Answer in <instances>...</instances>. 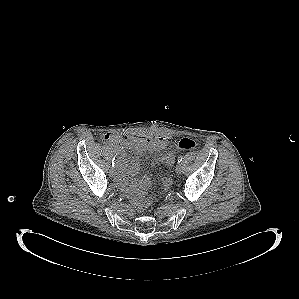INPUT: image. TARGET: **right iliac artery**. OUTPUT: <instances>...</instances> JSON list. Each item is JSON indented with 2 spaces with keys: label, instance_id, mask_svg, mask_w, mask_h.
Wrapping results in <instances>:
<instances>
[{
  "label": "right iliac artery",
  "instance_id": "1",
  "mask_svg": "<svg viewBox=\"0 0 299 299\" xmlns=\"http://www.w3.org/2000/svg\"><path fill=\"white\" fill-rule=\"evenodd\" d=\"M114 160H115V158H113V159H112V166H114V165H115V163H114Z\"/></svg>",
  "mask_w": 299,
  "mask_h": 299
}]
</instances>
